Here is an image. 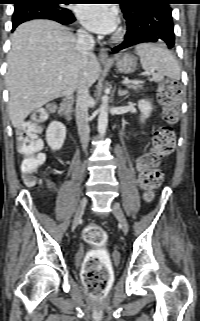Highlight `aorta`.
Wrapping results in <instances>:
<instances>
[{
	"mask_svg": "<svg viewBox=\"0 0 200 321\" xmlns=\"http://www.w3.org/2000/svg\"><path fill=\"white\" fill-rule=\"evenodd\" d=\"M108 126V97L105 96L102 100V105L99 108L98 117V132L100 136H104Z\"/></svg>",
	"mask_w": 200,
	"mask_h": 321,
	"instance_id": "1",
	"label": "aorta"
}]
</instances>
